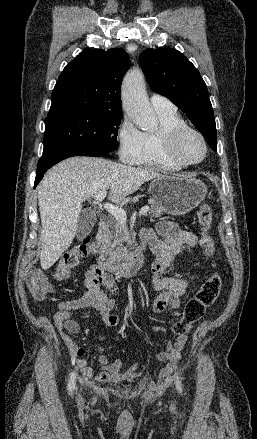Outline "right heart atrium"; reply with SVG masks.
I'll list each match as a JSON object with an SVG mask.
<instances>
[{
    "label": "right heart atrium",
    "mask_w": 257,
    "mask_h": 439,
    "mask_svg": "<svg viewBox=\"0 0 257 439\" xmlns=\"http://www.w3.org/2000/svg\"><path fill=\"white\" fill-rule=\"evenodd\" d=\"M118 154L125 163H134L143 149L142 132L124 116L117 130Z\"/></svg>",
    "instance_id": "obj_1"
}]
</instances>
